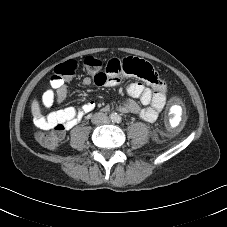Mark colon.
<instances>
[{
	"label": "colon",
	"mask_w": 227,
	"mask_h": 227,
	"mask_svg": "<svg viewBox=\"0 0 227 227\" xmlns=\"http://www.w3.org/2000/svg\"><path fill=\"white\" fill-rule=\"evenodd\" d=\"M83 65L94 74V79L98 84H102L105 80L102 69L104 68L103 61L94 55H85L82 59ZM78 61L69 59L58 64L54 69V74L51 77V87L59 88L63 84V77H73L78 71ZM113 76H118L123 70L126 73L136 75L143 79L152 80L154 78L153 67L144 61L128 59L120 66L115 59L110 60L105 66ZM182 109V102L179 97L174 96L171 100L170 114L174 115ZM63 139V127L56 125L53 132H44L37 134V140L48 148H56Z\"/></svg>",
	"instance_id": "5ec220e1"
}]
</instances>
